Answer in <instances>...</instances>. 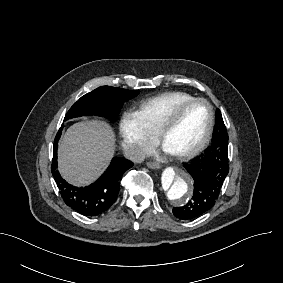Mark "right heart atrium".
<instances>
[{
	"label": "right heart atrium",
	"mask_w": 283,
	"mask_h": 283,
	"mask_svg": "<svg viewBox=\"0 0 283 283\" xmlns=\"http://www.w3.org/2000/svg\"><path fill=\"white\" fill-rule=\"evenodd\" d=\"M118 137L126 158L133 163L140 162L148 154L153 142V134L144 118L130 107L121 114Z\"/></svg>",
	"instance_id": "1"
}]
</instances>
